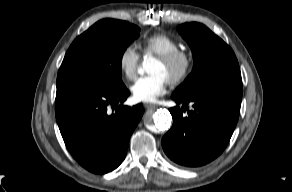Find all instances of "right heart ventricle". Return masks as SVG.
Wrapping results in <instances>:
<instances>
[{"mask_svg":"<svg viewBox=\"0 0 292 192\" xmlns=\"http://www.w3.org/2000/svg\"><path fill=\"white\" fill-rule=\"evenodd\" d=\"M144 53L163 55L180 48V43L174 37L165 33H154L142 41Z\"/></svg>","mask_w":292,"mask_h":192,"instance_id":"1","label":"right heart ventricle"}]
</instances>
